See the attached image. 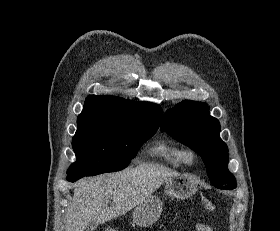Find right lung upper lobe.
Instances as JSON below:
<instances>
[{"instance_id": "obj_1", "label": "right lung upper lobe", "mask_w": 280, "mask_h": 231, "mask_svg": "<svg viewBox=\"0 0 280 231\" xmlns=\"http://www.w3.org/2000/svg\"><path fill=\"white\" fill-rule=\"evenodd\" d=\"M112 118L158 128L162 118L160 106L152 103L127 101L120 97L90 95L77 120Z\"/></svg>"}]
</instances>
